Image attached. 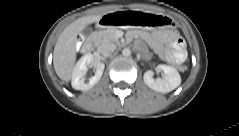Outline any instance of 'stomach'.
I'll return each mask as SVG.
<instances>
[{"mask_svg":"<svg viewBox=\"0 0 239 136\" xmlns=\"http://www.w3.org/2000/svg\"><path fill=\"white\" fill-rule=\"evenodd\" d=\"M152 18L157 22L152 24ZM115 23L118 26L148 28L150 25H170L171 20L167 17L150 16L140 12H117L115 14Z\"/></svg>","mask_w":239,"mask_h":136,"instance_id":"stomach-1","label":"stomach"}]
</instances>
